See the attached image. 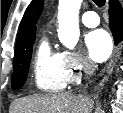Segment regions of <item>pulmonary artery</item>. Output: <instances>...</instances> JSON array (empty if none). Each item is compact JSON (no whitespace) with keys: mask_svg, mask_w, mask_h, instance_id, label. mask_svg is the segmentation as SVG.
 Returning <instances> with one entry per match:
<instances>
[{"mask_svg":"<svg viewBox=\"0 0 123 113\" xmlns=\"http://www.w3.org/2000/svg\"><path fill=\"white\" fill-rule=\"evenodd\" d=\"M82 23L87 27H96L100 23L98 14L95 11H86L81 16Z\"/></svg>","mask_w":123,"mask_h":113,"instance_id":"obj_1","label":"pulmonary artery"}]
</instances>
